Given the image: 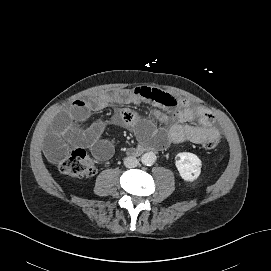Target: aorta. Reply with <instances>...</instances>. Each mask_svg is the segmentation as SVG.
Returning a JSON list of instances; mask_svg holds the SVG:
<instances>
[{"instance_id":"aorta-1","label":"aorta","mask_w":271,"mask_h":271,"mask_svg":"<svg viewBox=\"0 0 271 271\" xmlns=\"http://www.w3.org/2000/svg\"><path fill=\"white\" fill-rule=\"evenodd\" d=\"M156 156L153 152H148L142 155L141 162L143 165L151 166L155 163Z\"/></svg>"}]
</instances>
